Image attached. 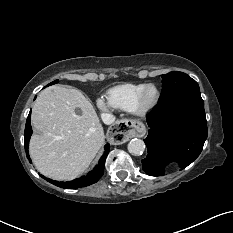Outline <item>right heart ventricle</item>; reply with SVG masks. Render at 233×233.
I'll use <instances>...</instances> for the list:
<instances>
[{
	"label": "right heart ventricle",
	"mask_w": 233,
	"mask_h": 233,
	"mask_svg": "<svg viewBox=\"0 0 233 233\" xmlns=\"http://www.w3.org/2000/svg\"><path fill=\"white\" fill-rule=\"evenodd\" d=\"M145 84L124 83L107 90L106 101L117 109L132 111L135 99Z\"/></svg>",
	"instance_id": "e07e8e85"
}]
</instances>
